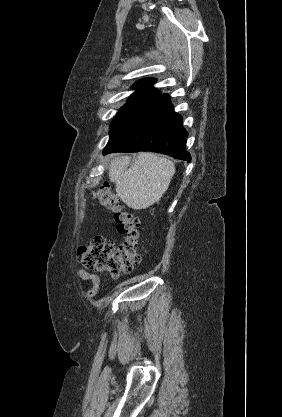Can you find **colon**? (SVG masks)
<instances>
[{
  "instance_id": "5ec220e1",
  "label": "colon",
  "mask_w": 282,
  "mask_h": 417,
  "mask_svg": "<svg viewBox=\"0 0 282 417\" xmlns=\"http://www.w3.org/2000/svg\"><path fill=\"white\" fill-rule=\"evenodd\" d=\"M94 196L100 206L114 213L117 231L124 241L117 248L101 235L91 236L87 244L79 248L77 258L88 270L118 278L131 272L141 259V226L136 216L126 209L108 185L96 187Z\"/></svg>"
}]
</instances>
